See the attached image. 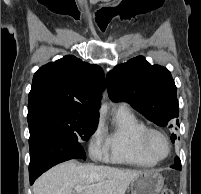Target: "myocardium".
I'll list each match as a JSON object with an SVG mask.
<instances>
[{"instance_id":"1","label":"myocardium","mask_w":201,"mask_h":194,"mask_svg":"<svg viewBox=\"0 0 201 194\" xmlns=\"http://www.w3.org/2000/svg\"><path fill=\"white\" fill-rule=\"evenodd\" d=\"M152 135H159L166 142L167 152L164 156L156 157L150 152L149 140ZM141 147H142V150L144 151V153L155 162H159V161L166 159L170 155L171 150H172L171 141H170L168 135L165 132H163L162 130H160L158 128H154V127H146L145 130L143 131V133L141 135Z\"/></svg>"}]
</instances>
